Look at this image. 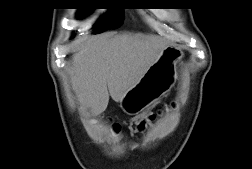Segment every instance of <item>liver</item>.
<instances>
[{"label":"liver","mask_w":252,"mask_h":169,"mask_svg":"<svg viewBox=\"0 0 252 169\" xmlns=\"http://www.w3.org/2000/svg\"><path fill=\"white\" fill-rule=\"evenodd\" d=\"M167 43L140 34L100 36L72 55L71 84L78 102L96 116L109 96L120 102L159 59Z\"/></svg>","instance_id":"1"}]
</instances>
